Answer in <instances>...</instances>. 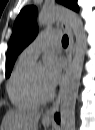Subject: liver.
Masks as SVG:
<instances>
[{"mask_svg": "<svg viewBox=\"0 0 95 130\" xmlns=\"http://www.w3.org/2000/svg\"><path fill=\"white\" fill-rule=\"evenodd\" d=\"M40 117L38 111L9 110L3 118L1 130H38Z\"/></svg>", "mask_w": 95, "mask_h": 130, "instance_id": "1", "label": "liver"}]
</instances>
